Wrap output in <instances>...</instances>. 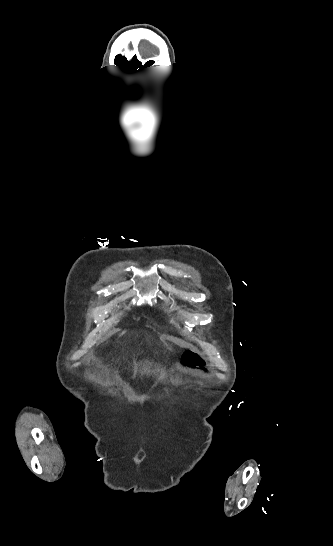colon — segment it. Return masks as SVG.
Here are the masks:
<instances>
[{
	"instance_id": "colon-1",
	"label": "colon",
	"mask_w": 333,
	"mask_h": 546,
	"mask_svg": "<svg viewBox=\"0 0 333 546\" xmlns=\"http://www.w3.org/2000/svg\"><path fill=\"white\" fill-rule=\"evenodd\" d=\"M184 364L190 369H205V359L196 351L187 350L183 355Z\"/></svg>"
}]
</instances>
